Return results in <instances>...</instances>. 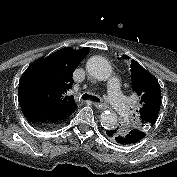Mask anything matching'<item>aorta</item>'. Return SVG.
Segmentation results:
<instances>
[{"mask_svg": "<svg viewBox=\"0 0 177 177\" xmlns=\"http://www.w3.org/2000/svg\"><path fill=\"white\" fill-rule=\"evenodd\" d=\"M87 72L99 81L110 78L112 69L110 63L102 56H93L86 63ZM100 122L105 129H112L117 124V115L113 111H104L100 116Z\"/></svg>", "mask_w": 177, "mask_h": 177, "instance_id": "aorta-1", "label": "aorta"}]
</instances>
